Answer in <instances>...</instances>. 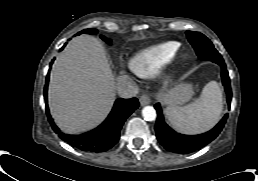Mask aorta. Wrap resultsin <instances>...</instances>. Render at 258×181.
Here are the masks:
<instances>
[{"mask_svg": "<svg viewBox=\"0 0 258 181\" xmlns=\"http://www.w3.org/2000/svg\"><path fill=\"white\" fill-rule=\"evenodd\" d=\"M142 116L147 121H153L156 119V110L152 106H145L142 109Z\"/></svg>", "mask_w": 258, "mask_h": 181, "instance_id": "1", "label": "aorta"}]
</instances>
